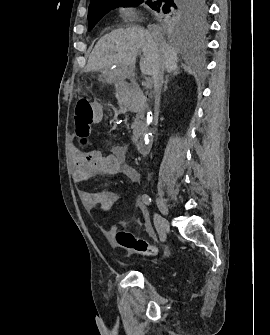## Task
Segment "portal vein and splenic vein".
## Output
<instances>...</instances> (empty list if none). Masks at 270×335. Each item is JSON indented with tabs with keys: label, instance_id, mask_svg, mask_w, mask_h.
<instances>
[{
	"label": "portal vein and splenic vein",
	"instance_id": "18ae733b",
	"mask_svg": "<svg viewBox=\"0 0 270 335\" xmlns=\"http://www.w3.org/2000/svg\"><path fill=\"white\" fill-rule=\"evenodd\" d=\"M153 83H154V80H153L152 78H149V79L147 80L145 89H146V90H149V89L153 86Z\"/></svg>",
	"mask_w": 270,
	"mask_h": 335
}]
</instances>
